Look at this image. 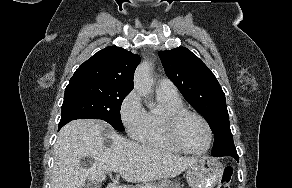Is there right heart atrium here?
Returning a JSON list of instances; mask_svg holds the SVG:
<instances>
[{"label":"right heart atrium","instance_id":"obj_1","mask_svg":"<svg viewBox=\"0 0 292 188\" xmlns=\"http://www.w3.org/2000/svg\"><path fill=\"white\" fill-rule=\"evenodd\" d=\"M119 116L128 135L137 138L146 119V111L142 106L137 90L130 91L123 98L119 106Z\"/></svg>","mask_w":292,"mask_h":188}]
</instances>
